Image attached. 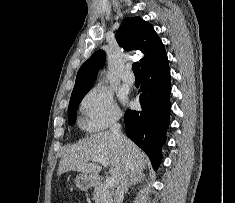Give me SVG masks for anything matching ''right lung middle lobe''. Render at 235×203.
<instances>
[{
  "label": "right lung middle lobe",
  "instance_id": "1",
  "mask_svg": "<svg viewBox=\"0 0 235 203\" xmlns=\"http://www.w3.org/2000/svg\"><path fill=\"white\" fill-rule=\"evenodd\" d=\"M90 88L91 87L86 88V89L79 91L77 93H73L71 95L69 108H68V121L71 126L75 124L76 112H77L78 105L82 101L84 95L90 90Z\"/></svg>",
  "mask_w": 235,
  "mask_h": 203
}]
</instances>
